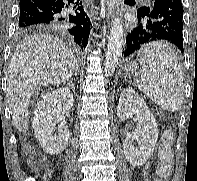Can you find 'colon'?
I'll use <instances>...</instances> for the list:
<instances>
[{"mask_svg":"<svg viewBox=\"0 0 197 181\" xmlns=\"http://www.w3.org/2000/svg\"><path fill=\"white\" fill-rule=\"evenodd\" d=\"M173 141V131L167 128L164 133L163 143L159 149L160 163L157 169V178L155 181H166L172 171V153L170 145Z\"/></svg>","mask_w":197,"mask_h":181,"instance_id":"5ec220e1","label":"colon"}]
</instances>
